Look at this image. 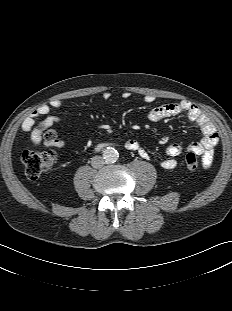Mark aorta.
Wrapping results in <instances>:
<instances>
[{
	"instance_id": "aorta-1",
	"label": "aorta",
	"mask_w": 232,
	"mask_h": 311,
	"mask_svg": "<svg viewBox=\"0 0 232 311\" xmlns=\"http://www.w3.org/2000/svg\"><path fill=\"white\" fill-rule=\"evenodd\" d=\"M119 157V153L117 152L116 149L112 147H107L103 150V159L107 163H114L117 161Z\"/></svg>"
}]
</instances>
